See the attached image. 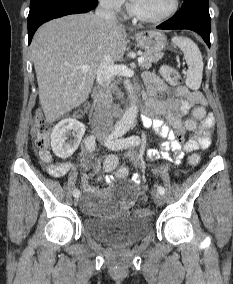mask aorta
I'll list each match as a JSON object with an SVG mask.
<instances>
[{"label":"aorta","mask_w":233,"mask_h":284,"mask_svg":"<svg viewBox=\"0 0 233 284\" xmlns=\"http://www.w3.org/2000/svg\"><path fill=\"white\" fill-rule=\"evenodd\" d=\"M124 85H125V88L128 90V92L131 94L132 103H131V106L124 112L123 116L121 117L117 125L124 130H128L135 122L137 114H138V110H137L135 98L133 96V88L130 83V80L125 79Z\"/></svg>","instance_id":"aorta-1"}]
</instances>
